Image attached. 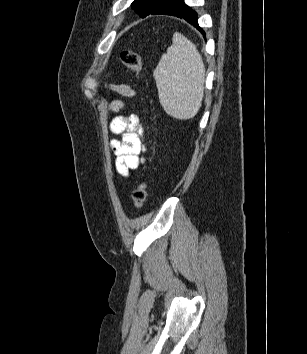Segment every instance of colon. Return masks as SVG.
I'll return each instance as SVG.
<instances>
[{
    "label": "colon",
    "instance_id": "5ec220e1",
    "mask_svg": "<svg viewBox=\"0 0 307 354\" xmlns=\"http://www.w3.org/2000/svg\"><path fill=\"white\" fill-rule=\"evenodd\" d=\"M122 63L130 69L134 80L141 79L142 63L140 55L133 50H125L121 53ZM147 198V182L139 181L132 193L133 204L136 208H141L145 204Z\"/></svg>",
    "mask_w": 307,
    "mask_h": 354
}]
</instances>
